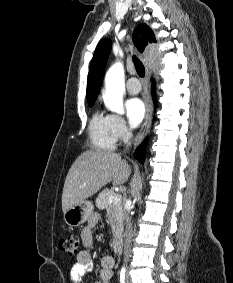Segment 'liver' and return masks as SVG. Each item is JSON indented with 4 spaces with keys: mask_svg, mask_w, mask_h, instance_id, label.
Listing matches in <instances>:
<instances>
[{
    "mask_svg": "<svg viewBox=\"0 0 233 283\" xmlns=\"http://www.w3.org/2000/svg\"><path fill=\"white\" fill-rule=\"evenodd\" d=\"M130 174L131 167L120 154L103 150L83 152L72 164L64 183L63 213L93 196L110 182L115 186L122 185Z\"/></svg>",
    "mask_w": 233,
    "mask_h": 283,
    "instance_id": "obj_1",
    "label": "liver"
}]
</instances>
